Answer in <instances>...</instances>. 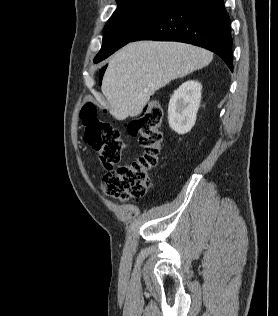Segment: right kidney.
<instances>
[{"instance_id": "right-kidney-1", "label": "right kidney", "mask_w": 278, "mask_h": 316, "mask_svg": "<svg viewBox=\"0 0 278 316\" xmlns=\"http://www.w3.org/2000/svg\"><path fill=\"white\" fill-rule=\"evenodd\" d=\"M202 85L198 81H186L172 95L168 106V121L178 134L189 132L195 125L201 101Z\"/></svg>"}]
</instances>
